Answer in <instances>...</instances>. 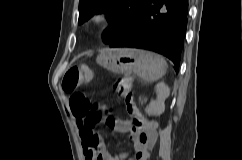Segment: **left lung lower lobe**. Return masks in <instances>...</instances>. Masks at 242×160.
Listing matches in <instances>:
<instances>
[{
	"instance_id": "left-lung-lower-lobe-1",
	"label": "left lung lower lobe",
	"mask_w": 242,
	"mask_h": 160,
	"mask_svg": "<svg viewBox=\"0 0 242 160\" xmlns=\"http://www.w3.org/2000/svg\"><path fill=\"white\" fill-rule=\"evenodd\" d=\"M187 15L188 0H149L133 26L109 45L160 53L168 57L178 70Z\"/></svg>"
}]
</instances>
